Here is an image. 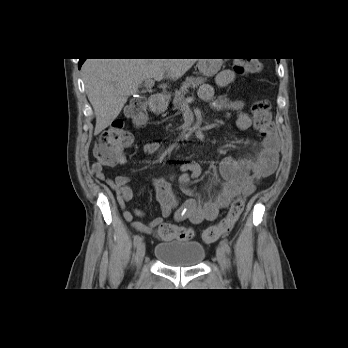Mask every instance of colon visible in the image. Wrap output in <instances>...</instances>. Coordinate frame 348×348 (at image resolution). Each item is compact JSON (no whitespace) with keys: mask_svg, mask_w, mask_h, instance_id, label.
Instances as JSON below:
<instances>
[{"mask_svg":"<svg viewBox=\"0 0 348 348\" xmlns=\"http://www.w3.org/2000/svg\"><path fill=\"white\" fill-rule=\"evenodd\" d=\"M261 69V62L257 58H239L235 60L234 71L239 75L253 74ZM126 117L135 125L142 126L147 122L145 100L134 99L126 110ZM252 119L254 128L261 135H270L275 131L270 104L267 100H260L252 106ZM132 143L131 133L125 128L124 122L119 120L112 123L100 136L94 149V155L98 163L105 165L117 164L126 149ZM245 206L243 198L235 199L227 215L215 226L204 230L203 240L213 243L227 235L236 224ZM156 236L162 240L187 241L192 238L193 230L189 227L174 224H162L156 230Z\"/></svg>","mask_w":348,"mask_h":348,"instance_id":"5ec220e1","label":"colon"}]
</instances>
